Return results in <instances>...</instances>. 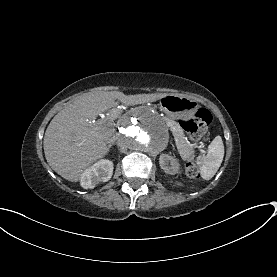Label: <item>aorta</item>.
<instances>
[{
	"mask_svg": "<svg viewBox=\"0 0 277 277\" xmlns=\"http://www.w3.org/2000/svg\"><path fill=\"white\" fill-rule=\"evenodd\" d=\"M117 140L123 148L156 156L169 141L168 129L162 118L149 109H137L119 121Z\"/></svg>",
	"mask_w": 277,
	"mask_h": 277,
	"instance_id": "1",
	"label": "aorta"
}]
</instances>
